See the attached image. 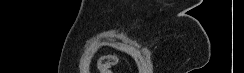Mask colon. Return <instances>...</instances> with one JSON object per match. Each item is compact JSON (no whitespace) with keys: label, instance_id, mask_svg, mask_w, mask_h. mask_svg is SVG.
<instances>
[{"label":"colon","instance_id":"colon-1","mask_svg":"<svg viewBox=\"0 0 244 73\" xmlns=\"http://www.w3.org/2000/svg\"><path fill=\"white\" fill-rule=\"evenodd\" d=\"M119 58L115 54L102 55L98 59L99 73H112V69L118 64Z\"/></svg>","mask_w":244,"mask_h":73}]
</instances>
